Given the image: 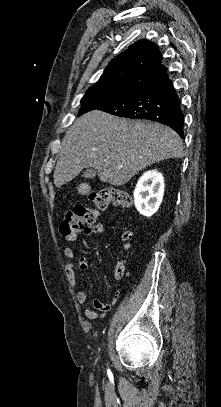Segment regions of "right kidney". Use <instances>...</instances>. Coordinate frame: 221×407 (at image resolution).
<instances>
[{
    "mask_svg": "<svg viewBox=\"0 0 221 407\" xmlns=\"http://www.w3.org/2000/svg\"><path fill=\"white\" fill-rule=\"evenodd\" d=\"M164 195V178L157 170L145 172L134 190V204L137 211L146 217L157 212Z\"/></svg>",
    "mask_w": 221,
    "mask_h": 407,
    "instance_id": "ca27d5eb",
    "label": "right kidney"
}]
</instances>
